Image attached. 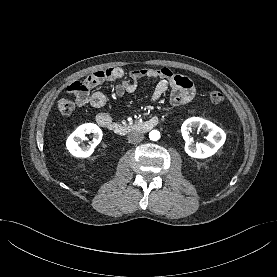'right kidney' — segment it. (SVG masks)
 <instances>
[{"label":"right kidney","instance_id":"right-kidney-1","mask_svg":"<svg viewBox=\"0 0 277 277\" xmlns=\"http://www.w3.org/2000/svg\"><path fill=\"white\" fill-rule=\"evenodd\" d=\"M86 134L93 135V143L91 146L82 147L80 146V139H85ZM102 139V130L93 123H86L79 126L67 139L66 147L69 152L79 158L89 157L93 151L94 147L97 146Z\"/></svg>","mask_w":277,"mask_h":277}]
</instances>
